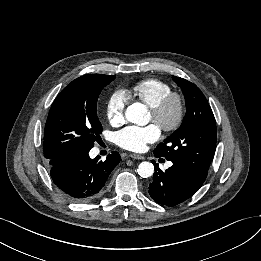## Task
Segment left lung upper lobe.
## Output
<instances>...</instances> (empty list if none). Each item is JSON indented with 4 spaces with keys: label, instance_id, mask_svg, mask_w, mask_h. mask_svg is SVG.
Segmentation results:
<instances>
[{
    "label": "left lung upper lobe",
    "instance_id": "left-lung-upper-lobe-1",
    "mask_svg": "<svg viewBox=\"0 0 261 261\" xmlns=\"http://www.w3.org/2000/svg\"><path fill=\"white\" fill-rule=\"evenodd\" d=\"M173 80L185 96L186 115L180 128L160 143L154 154L207 177L217 140L213 112L195 84L179 77H173Z\"/></svg>",
    "mask_w": 261,
    "mask_h": 261
}]
</instances>
